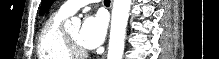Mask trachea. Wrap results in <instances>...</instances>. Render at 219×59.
<instances>
[{
  "label": "trachea",
  "instance_id": "obj_1",
  "mask_svg": "<svg viewBox=\"0 0 219 59\" xmlns=\"http://www.w3.org/2000/svg\"><path fill=\"white\" fill-rule=\"evenodd\" d=\"M104 3H110V0H104Z\"/></svg>",
  "mask_w": 219,
  "mask_h": 59
}]
</instances>
